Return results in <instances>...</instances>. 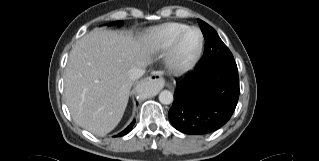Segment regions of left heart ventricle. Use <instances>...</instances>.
<instances>
[{
    "mask_svg": "<svg viewBox=\"0 0 319 161\" xmlns=\"http://www.w3.org/2000/svg\"><path fill=\"white\" fill-rule=\"evenodd\" d=\"M199 41H200V35L198 31L191 30L187 32L179 43L178 57L181 60H186L189 57H191L197 50Z\"/></svg>",
    "mask_w": 319,
    "mask_h": 161,
    "instance_id": "obj_1",
    "label": "left heart ventricle"
}]
</instances>
